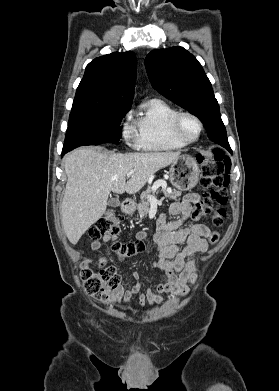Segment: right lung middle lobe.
Returning <instances> with one entry per match:
<instances>
[{
	"label": "right lung middle lobe",
	"mask_w": 279,
	"mask_h": 391,
	"mask_svg": "<svg viewBox=\"0 0 279 391\" xmlns=\"http://www.w3.org/2000/svg\"><path fill=\"white\" fill-rule=\"evenodd\" d=\"M129 110L115 107L71 111L63 150L103 142L117 144L121 138V120Z\"/></svg>",
	"instance_id": "dd1d6c3e"
}]
</instances>
